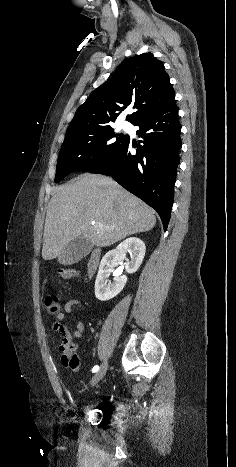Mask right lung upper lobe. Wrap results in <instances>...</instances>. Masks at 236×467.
<instances>
[{"instance_id": "cb5924a9", "label": "right lung upper lobe", "mask_w": 236, "mask_h": 467, "mask_svg": "<svg viewBox=\"0 0 236 467\" xmlns=\"http://www.w3.org/2000/svg\"><path fill=\"white\" fill-rule=\"evenodd\" d=\"M173 99L175 93L161 61L151 53L127 58L78 108L66 135L109 127L131 103L137 111L127 120L135 124Z\"/></svg>"}]
</instances>
